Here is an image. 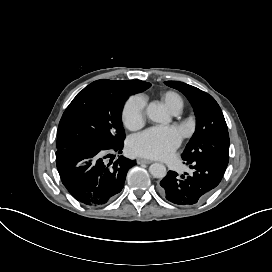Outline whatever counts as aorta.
Listing matches in <instances>:
<instances>
[{
	"label": "aorta",
	"instance_id": "obj_1",
	"mask_svg": "<svg viewBox=\"0 0 272 272\" xmlns=\"http://www.w3.org/2000/svg\"><path fill=\"white\" fill-rule=\"evenodd\" d=\"M147 115L154 122L162 123L165 120L164 111L157 101H153L148 105ZM149 172L153 177L159 179H163L167 174L166 167L162 163L151 164L149 167Z\"/></svg>",
	"mask_w": 272,
	"mask_h": 272
}]
</instances>
